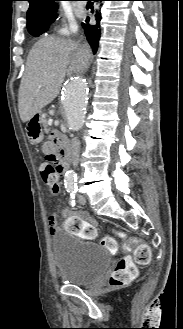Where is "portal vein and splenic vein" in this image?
Listing matches in <instances>:
<instances>
[{
    "mask_svg": "<svg viewBox=\"0 0 183 329\" xmlns=\"http://www.w3.org/2000/svg\"><path fill=\"white\" fill-rule=\"evenodd\" d=\"M52 122H53V120L52 119H49L48 120V125H52Z\"/></svg>",
    "mask_w": 183,
    "mask_h": 329,
    "instance_id": "18ae733b",
    "label": "portal vein and splenic vein"
}]
</instances>
